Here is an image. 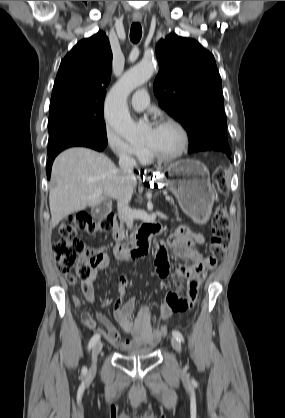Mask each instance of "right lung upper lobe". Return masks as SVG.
<instances>
[{
	"label": "right lung upper lobe",
	"instance_id": "right-lung-upper-lobe-1",
	"mask_svg": "<svg viewBox=\"0 0 285 418\" xmlns=\"http://www.w3.org/2000/svg\"><path fill=\"white\" fill-rule=\"evenodd\" d=\"M112 51L105 33L78 42L61 61L50 104L75 102L104 105L111 78Z\"/></svg>",
	"mask_w": 285,
	"mask_h": 418
}]
</instances>
